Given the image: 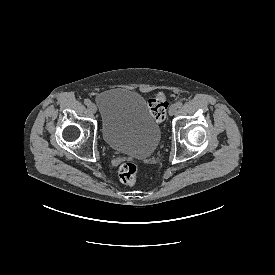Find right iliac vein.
<instances>
[{"label": "right iliac vein", "mask_w": 275, "mask_h": 275, "mask_svg": "<svg viewBox=\"0 0 275 275\" xmlns=\"http://www.w3.org/2000/svg\"><path fill=\"white\" fill-rule=\"evenodd\" d=\"M89 109H90L91 112H93V113H96V111H97L96 105H95L94 103H92V104L89 106Z\"/></svg>", "instance_id": "obj_1"}]
</instances>
